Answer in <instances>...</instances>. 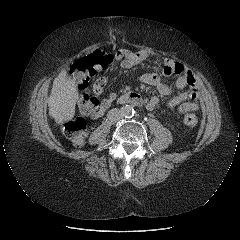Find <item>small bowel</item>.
<instances>
[{
    "label": "small bowel",
    "mask_w": 240,
    "mask_h": 240,
    "mask_svg": "<svg viewBox=\"0 0 240 240\" xmlns=\"http://www.w3.org/2000/svg\"><path fill=\"white\" fill-rule=\"evenodd\" d=\"M149 54L145 51L120 50L116 53L115 59L122 68L130 69L138 66L147 59ZM161 74L165 77L177 75V89L182 92L171 98L166 107L168 109H176L179 113L197 112L200 109L199 93L195 76L183 64L172 59H165L162 62ZM142 81L154 85L161 95H170L172 89L165 85L159 75L147 74L141 78ZM107 77L101 76L96 79L93 84V92L96 95H102L106 90ZM116 99V94L111 93L108 98L103 99L99 104V109L94 118H98L110 107L111 103ZM144 107L147 110H154L159 103L157 96L143 99Z\"/></svg>",
    "instance_id": "small-bowel-1"
}]
</instances>
